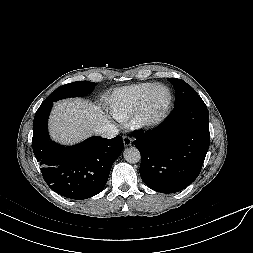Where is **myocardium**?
<instances>
[{"mask_svg": "<svg viewBox=\"0 0 253 253\" xmlns=\"http://www.w3.org/2000/svg\"><path fill=\"white\" fill-rule=\"evenodd\" d=\"M158 88H165L169 93V99L166 106L158 114H150L148 112V104L152 94ZM173 102H174L173 92L167 85L164 84L154 85L144 95L136 114L132 118V124L137 128L147 130L158 127L169 116L173 108Z\"/></svg>", "mask_w": 253, "mask_h": 253, "instance_id": "f54148a6", "label": "myocardium"}]
</instances>
